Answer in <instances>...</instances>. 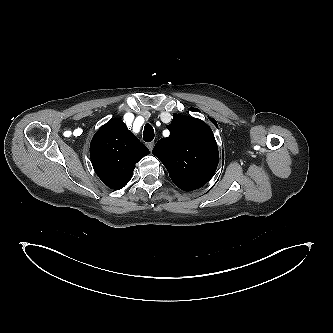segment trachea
I'll return each instance as SVG.
<instances>
[{
  "label": "trachea",
  "mask_w": 333,
  "mask_h": 333,
  "mask_svg": "<svg viewBox=\"0 0 333 333\" xmlns=\"http://www.w3.org/2000/svg\"><path fill=\"white\" fill-rule=\"evenodd\" d=\"M154 139V129L150 124H146L143 132V140L151 142Z\"/></svg>",
  "instance_id": "obj_1"
}]
</instances>
